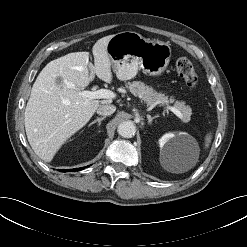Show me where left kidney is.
Returning <instances> with one entry per match:
<instances>
[{
    "mask_svg": "<svg viewBox=\"0 0 247 247\" xmlns=\"http://www.w3.org/2000/svg\"><path fill=\"white\" fill-rule=\"evenodd\" d=\"M191 142L192 138L187 133H167L159 140V146L166 158L172 161V168H178L176 164L185 161L184 153L187 151L188 145Z\"/></svg>",
    "mask_w": 247,
    "mask_h": 247,
    "instance_id": "1",
    "label": "left kidney"
}]
</instances>
